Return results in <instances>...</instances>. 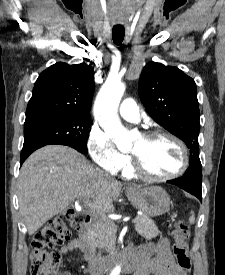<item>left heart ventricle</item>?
I'll list each match as a JSON object with an SVG mask.
<instances>
[{"mask_svg":"<svg viewBox=\"0 0 225 275\" xmlns=\"http://www.w3.org/2000/svg\"><path fill=\"white\" fill-rule=\"evenodd\" d=\"M132 153L140 157L144 168L154 175H167L181 165L182 155L178 146L169 139L146 140L143 136L133 146Z\"/></svg>","mask_w":225,"mask_h":275,"instance_id":"left-heart-ventricle-1","label":"left heart ventricle"}]
</instances>
